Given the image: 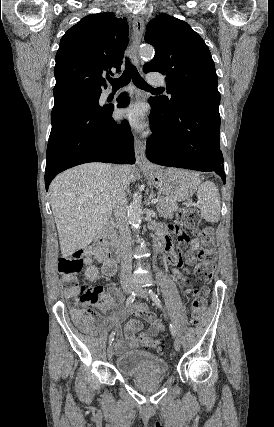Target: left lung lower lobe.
<instances>
[{"instance_id":"obj_1","label":"left lung lower lobe","mask_w":274,"mask_h":427,"mask_svg":"<svg viewBox=\"0 0 274 427\" xmlns=\"http://www.w3.org/2000/svg\"><path fill=\"white\" fill-rule=\"evenodd\" d=\"M149 103L153 135L146 143V157L163 166L214 171L225 183L219 109L202 104L166 109L153 98Z\"/></svg>"}]
</instances>
